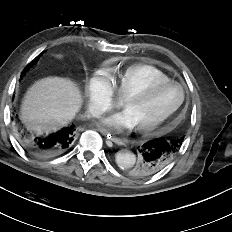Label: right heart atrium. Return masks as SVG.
Returning a JSON list of instances; mask_svg holds the SVG:
<instances>
[{"mask_svg":"<svg viewBox=\"0 0 232 232\" xmlns=\"http://www.w3.org/2000/svg\"><path fill=\"white\" fill-rule=\"evenodd\" d=\"M85 96L88 112L98 117L114 107V92L107 75L103 72L94 74L86 85Z\"/></svg>","mask_w":232,"mask_h":232,"instance_id":"d8ad5b80","label":"right heart atrium"}]
</instances>
